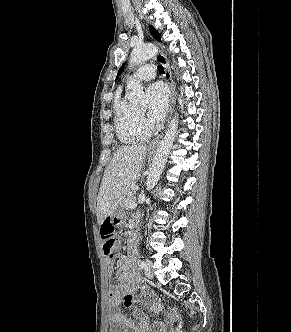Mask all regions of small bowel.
I'll return each instance as SVG.
<instances>
[{"label":"small bowel","instance_id":"obj_1","mask_svg":"<svg viewBox=\"0 0 291 332\" xmlns=\"http://www.w3.org/2000/svg\"><path fill=\"white\" fill-rule=\"evenodd\" d=\"M108 272L112 273L114 262L107 261ZM117 283L109 291L110 303V331L111 332H164L170 323L175 321L177 314L168 310L166 320L156 321L152 325L144 312L147 308L153 312H160L163 306L154 300L147 288L141 285L139 274L134 265V258L121 255L119 267L116 271ZM140 290V294H138ZM134 303L141 306L134 309L132 316L128 317L122 312V306L131 307Z\"/></svg>","mask_w":291,"mask_h":332}]
</instances>
